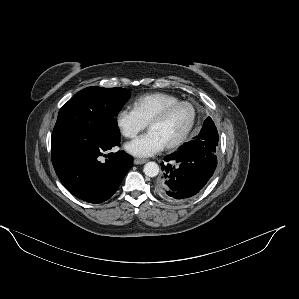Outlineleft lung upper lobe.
<instances>
[{"mask_svg":"<svg viewBox=\"0 0 299 299\" xmlns=\"http://www.w3.org/2000/svg\"><path fill=\"white\" fill-rule=\"evenodd\" d=\"M201 135H206L205 138H209V141L212 142L213 145L212 151L216 154L219 136L216 126L210 117L204 121L201 132L198 136H196V138H199Z\"/></svg>","mask_w":299,"mask_h":299,"instance_id":"1","label":"left lung upper lobe"}]
</instances>
